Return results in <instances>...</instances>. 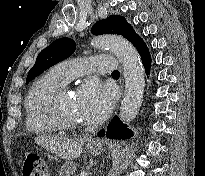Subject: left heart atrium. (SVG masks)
I'll list each match as a JSON object with an SVG mask.
<instances>
[{
	"instance_id": "left-heart-atrium-1",
	"label": "left heart atrium",
	"mask_w": 205,
	"mask_h": 176,
	"mask_svg": "<svg viewBox=\"0 0 205 176\" xmlns=\"http://www.w3.org/2000/svg\"><path fill=\"white\" fill-rule=\"evenodd\" d=\"M114 92L96 79L87 80L76 93L78 110L85 121L96 123L109 113Z\"/></svg>"
}]
</instances>
